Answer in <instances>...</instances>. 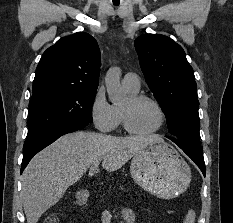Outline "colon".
<instances>
[{
  "instance_id": "obj_1",
  "label": "colon",
  "mask_w": 233,
  "mask_h": 223,
  "mask_svg": "<svg viewBox=\"0 0 233 223\" xmlns=\"http://www.w3.org/2000/svg\"><path fill=\"white\" fill-rule=\"evenodd\" d=\"M43 223H59V220L56 217L51 216L45 219Z\"/></svg>"
}]
</instances>
